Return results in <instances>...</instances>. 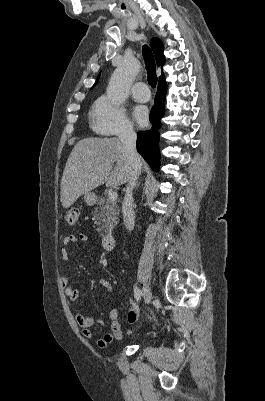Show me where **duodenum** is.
I'll return each instance as SVG.
<instances>
[{"label": "duodenum", "instance_id": "1", "mask_svg": "<svg viewBox=\"0 0 265 401\" xmlns=\"http://www.w3.org/2000/svg\"><path fill=\"white\" fill-rule=\"evenodd\" d=\"M116 238L112 234H107L102 239V245L106 250H112L115 247Z\"/></svg>", "mask_w": 265, "mask_h": 401}]
</instances>
